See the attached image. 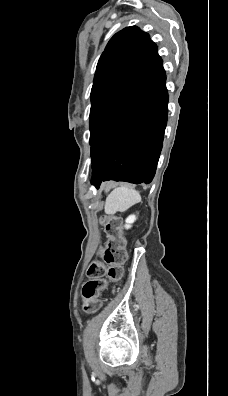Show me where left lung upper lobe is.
Returning <instances> with one entry per match:
<instances>
[{"label":"left lung upper lobe","instance_id":"5c2ea615","mask_svg":"<svg viewBox=\"0 0 228 396\" xmlns=\"http://www.w3.org/2000/svg\"><path fill=\"white\" fill-rule=\"evenodd\" d=\"M155 48L149 35L136 26L122 29L108 42L91 90V145L110 110L144 72Z\"/></svg>","mask_w":228,"mask_h":396}]
</instances>
